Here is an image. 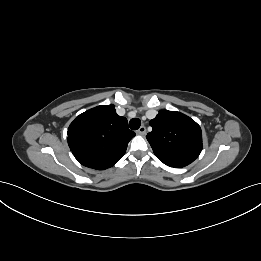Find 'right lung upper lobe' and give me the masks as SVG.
I'll return each instance as SVG.
<instances>
[{"instance_id":"obj_1","label":"right lung upper lobe","mask_w":261,"mask_h":261,"mask_svg":"<svg viewBox=\"0 0 261 261\" xmlns=\"http://www.w3.org/2000/svg\"><path fill=\"white\" fill-rule=\"evenodd\" d=\"M68 145L84 166L104 170L123 157L135 133L114 105L92 108L75 118L68 128Z\"/></svg>"}]
</instances>
